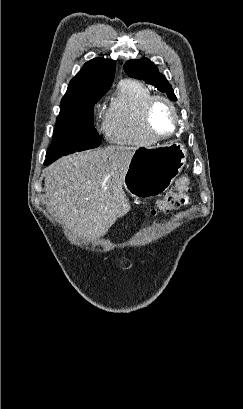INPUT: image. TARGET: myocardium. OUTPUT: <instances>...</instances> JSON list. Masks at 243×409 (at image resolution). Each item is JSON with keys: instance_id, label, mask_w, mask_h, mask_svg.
<instances>
[{"instance_id": "f54148a6", "label": "myocardium", "mask_w": 243, "mask_h": 409, "mask_svg": "<svg viewBox=\"0 0 243 409\" xmlns=\"http://www.w3.org/2000/svg\"><path fill=\"white\" fill-rule=\"evenodd\" d=\"M157 102H164L171 110L174 120H175V126L173 128V130L168 133V134H159L157 133L153 126H152V122H151V116H152V111L153 108L155 106V104ZM143 123H144V127L147 131V133L155 140H165L168 138H171L172 136L175 135V133L177 132L179 125H180V117L178 114V111L176 109V106L174 105V103L167 97L162 96V95H151L146 102L144 103L143 106Z\"/></svg>"}]
</instances>
